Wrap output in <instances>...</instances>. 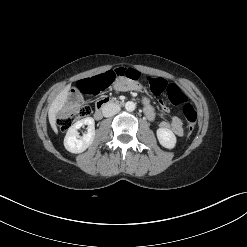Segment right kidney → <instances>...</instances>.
<instances>
[{
	"label": "right kidney",
	"mask_w": 247,
	"mask_h": 247,
	"mask_svg": "<svg viewBox=\"0 0 247 247\" xmlns=\"http://www.w3.org/2000/svg\"><path fill=\"white\" fill-rule=\"evenodd\" d=\"M84 125H87V133L79 138L78 130ZM94 137V119L92 117H87L77 121L68 129L64 138V147L71 153H82L92 144Z\"/></svg>",
	"instance_id": "ca27d5eb"
}]
</instances>
